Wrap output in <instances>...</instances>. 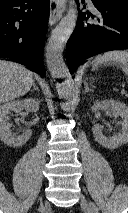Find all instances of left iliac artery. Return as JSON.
<instances>
[{
  "instance_id": "left-iliac-artery-1",
  "label": "left iliac artery",
  "mask_w": 128,
  "mask_h": 213,
  "mask_svg": "<svg viewBox=\"0 0 128 213\" xmlns=\"http://www.w3.org/2000/svg\"><path fill=\"white\" fill-rule=\"evenodd\" d=\"M91 205H92V210H93V212H94V213H99V212H98V208H97L93 203H91Z\"/></svg>"
}]
</instances>
